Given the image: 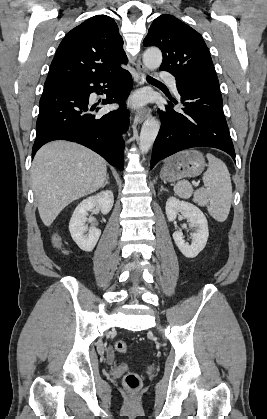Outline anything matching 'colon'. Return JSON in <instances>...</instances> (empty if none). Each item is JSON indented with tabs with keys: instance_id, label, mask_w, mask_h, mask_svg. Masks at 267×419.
I'll return each instance as SVG.
<instances>
[{
	"instance_id": "obj_1",
	"label": "colon",
	"mask_w": 267,
	"mask_h": 419,
	"mask_svg": "<svg viewBox=\"0 0 267 419\" xmlns=\"http://www.w3.org/2000/svg\"><path fill=\"white\" fill-rule=\"evenodd\" d=\"M54 243L56 246H59V240L55 238ZM114 348L119 353H125L128 349L126 342L117 341L114 345ZM124 386L130 391H137L142 384L140 376L135 372L127 373L123 378Z\"/></svg>"
}]
</instances>
